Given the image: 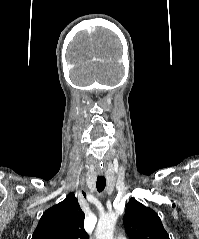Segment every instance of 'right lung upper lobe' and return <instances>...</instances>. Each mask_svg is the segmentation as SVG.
I'll list each match as a JSON object with an SVG mask.
<instances>
[{
    "mask_svg": "<svg viewBox=\"0 0 199 239\" xmlns=\"http://www.w3.org/2000/svg\"><path fill=\"white\" fill-rule=\"evenodd\" d=\"M84 212L70 193L65 200L46 210L32 239H88L84 230Z\"/></svg>",
    "mask_w": 199,
    "mask_h": 239,
    "instance_id": "obj_1",
    "label": "right lung upper lobe"
}]
</instances>
